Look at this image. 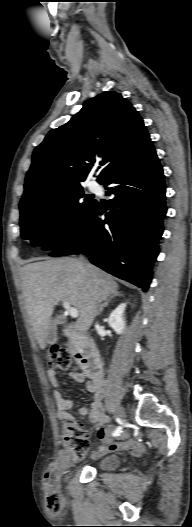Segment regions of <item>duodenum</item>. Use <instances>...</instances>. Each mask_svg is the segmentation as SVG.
<instances>
[{
    "mask_svg": "<svg viewBox=\"0 0 192 527\" xmlns=\"http://www.w3.org/2000/svg\"><path fill=\"white\" fill-rule=\"evenodd\" d=\"M67 335L74 343V353L84 372L93 376L101 377L102 370L100 358L93 342L74 331H68Z\"/></svg>",
    "mask_w": 192,
    "mask_h": 527,
    "instance_id": "obj_1",
    "label": "duodenum"
}]
</instances>
